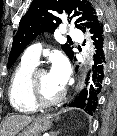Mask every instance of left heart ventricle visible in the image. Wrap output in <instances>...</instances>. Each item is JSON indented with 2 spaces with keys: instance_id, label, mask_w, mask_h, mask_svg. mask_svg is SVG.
<instances>
[{
  "instance_id": "obj_1",
  "label": "left heart ventricle",
  "mask_w": 117,
  "mask_h": 136,
  "mask_svg": "<svg viewBox=\"0 0 117 136\" xmlns=\"http://www.w3.org/2000/svg\"><path fill=\"white\" fill-rule=\"evenodd\" d=\"M38 85L40 88L41 96L45 100L56 98L63 89L52 79L49 72L42 73L39 76Z\"/></svg>"
}]
</instances>
